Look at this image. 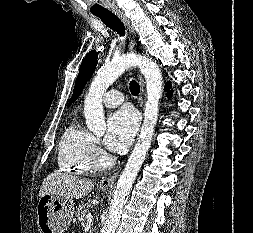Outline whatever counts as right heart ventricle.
Wrapping results in <instances>:
<instances>
[{"instance_id":"obj_1","label":"right heart ventricle","mask_w":253,"mask_h":233,"mask_svg":"<svg viewBox=\"0 0 253 233\" xmlns=\"http://www.w3.org/2000/svg\"><path fill=\"white\" fill-rule=\"evenodd\" d=\"M94 137L81 125H69L58 144L57 165L62 172L84 174L93 169Z\"/></svg>"}]
</instances>
